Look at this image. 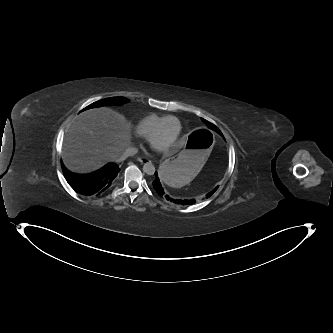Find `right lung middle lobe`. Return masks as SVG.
<instances>
[{"label": "right lung middle lobe", "mask_w": 333, "mask_h": 333, "mask_svg": "<svg viewBox=\"0 0 333 333\" xmlns=\"http://www.w3.org/2000/svg\"><path fill=\"white\" fill-rule=\"evenodd\" d=\"M128 101H129V99H126L124 97H111V98H106V99H102L97 102H94V103L90 104L88 107H86L85 109L100 107V106H105V105H121Z\"/></svg>", "instance_id": "obj_1"}]
</instances>
